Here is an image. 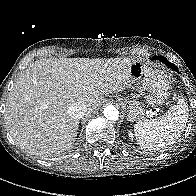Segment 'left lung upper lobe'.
<instances>
[{
    "label": "left lung upper lobe",
    "instance_id": "obj_1",
    "mask_svg": "<svg viewBox=\"0 0 196 196\" xmlns=\"http://www.w3.org/2000/svg\"><path fill=\"white\" fill-rule=\"evenodd\" d=\"M155 59L162 61L163 63H165L167 66H169L170 68H172L173 70H176L177 67L172 64L171 62H169L165 57L163 56H156Z\"/></svg>",
    "mask_w": 196,
    "mask_h": 196
}]
</instances>
